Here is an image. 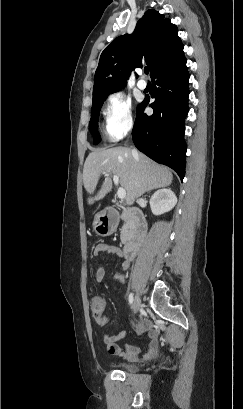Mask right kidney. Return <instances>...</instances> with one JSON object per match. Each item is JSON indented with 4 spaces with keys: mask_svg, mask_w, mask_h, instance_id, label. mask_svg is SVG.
Instances as JSON below:
<instances>
[{
    "mask_svg": "<svg viewBox=\"0 0 243 409\" xmlns=\"http://www.w3.org/2000/svg\"><path fill=\"white\" fill-rule=\"evenodd\" d=\"M176 203V195L167 188L156 191L150 198V207L154 215H161L172 210Z\"/></svg>",
    "mask_w": 243,
    "mask_h": 409,
    "instance_id": "obj_1",
    "label": "right kidney"
}]
</instances>
